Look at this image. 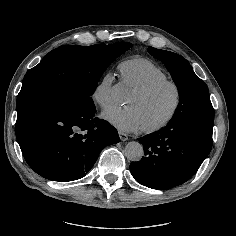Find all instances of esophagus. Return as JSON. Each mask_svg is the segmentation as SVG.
<instances>
[{"label":"esophagus","instance_id":"34e87169","mask_svg":"<svg viewBox=\"0 0 236 236\" xmlns=\"http://www.w3.org/2000/svg\"><path fill=\"white\" fill-rule=\"evenodd\" d=\"M118 134H119V137L122 141L128 140V136L125 133L119 131Z\"/></svg>","mask_w":236,"mask_h":236}]
</instances>
